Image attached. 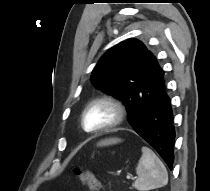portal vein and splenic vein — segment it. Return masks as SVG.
Wrapping results in <instances>:
<instances>
[{
    "instance_id": "obj_1",
    "label": "portal vein and splenic vein",
    "mask_w": 210,
    "mask_h": 191,
    "mask_svg": "<svg viewBox=\"0 0 210 191\" xmlns=\"http://www.w3.org/2000/svg\"><path fill=\"white\" fill-rule=\"evenodd\" d=\"M132 178H133V177L130 176V175H127V176H126V179H127V180H130V179H132Z\"/></svg>"
}]
</instances>
